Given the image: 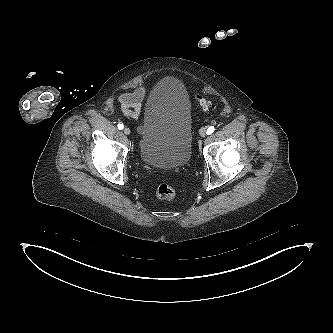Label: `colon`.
Masks as SVG:
<instances>
[{"mask_svg": "<svg viewBox=\"0 0 333 333\" xmlns=\"http://www.w3.org/2000/svg\"><path fill=\"white\" fill-rule=\"evenodd\" d=\"M197 101L200 107L203 109H209L215 107V104L212 101L208 100L207 98L201 95L197 96ZM156 195L160 200L169 201L175 197L176 193L175 190L170 185L161 184L157 188Z\"/></svg>", "mask_w": 333, "mask_h": 333, "instance_id": "5ec220e1", "label": "colon"}]
</instances>
